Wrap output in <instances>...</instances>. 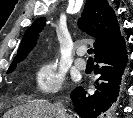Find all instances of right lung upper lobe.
<instances>
[{
	"mask_svg": "<svg viewBox=\"0 0 133 118\" xmlns=\"http://www.w3.org/2000/svg\"><path fill=\"white\" fill-rule=\"evenodd\" d=\"M45 21L44 17L38 18L26 30L17 51L18 57L14 59L10 67L25 58L35 46L39 33L45 27ZM79 27L83 32L96 38L94 43L95 55L122 37L114 11L106 0H87L79 20Z\"/></svg>",
	"mask_w": 133,
	"mask_h": 118,
	"instance_id": "obj_1",
	"label": "right lung upper lobe"
}]
</instances>
